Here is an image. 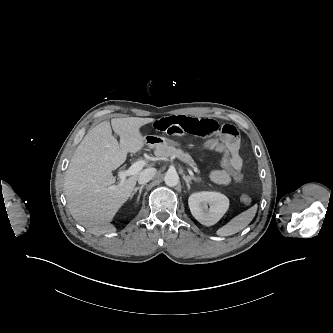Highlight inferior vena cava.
Instances as JSON below:
<instances>
[{
	"mask_svg": "<svg viewBox=\"0 0 333 333\" xmlns=\"http://www.w3.org/2000/svg\"><path fill=\"white\" fill-rule=\"evenodd\" d=\"M156 174V169L154 168H148L140 172L138 176V183L139 184H146L150 180L153 179V177Z\"/></svg>",
	"mask_w": 333,
	"mask_h": 333,
	"instance_id": "602c4592",
	"label": "inferior vena cava"
}]
</instances>
